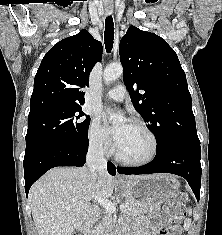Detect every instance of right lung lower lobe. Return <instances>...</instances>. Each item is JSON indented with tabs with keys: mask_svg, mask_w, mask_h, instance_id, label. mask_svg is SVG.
<instances>
[{
	"mask_svg": "<svg viewBox=\"0 0 222 235\" xmlns=\"http://www.w3.org/2000/svg\"><path fill=\"white\" fill-rule=\"evenodd\" d=\"M87 146L49 145L25 155L24 178L28 195L31 185L46 171L57 166H83L86 161ZM108 172L116 174L115 167L109 163Z\"/></svg>",
	"mask_w": 222,
	"mask_h": 235,
	"instance_id": "98d812e1",
	"label": "right lung lower lobe"
}]
</instances>
